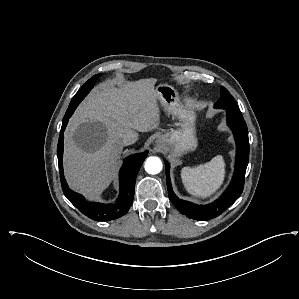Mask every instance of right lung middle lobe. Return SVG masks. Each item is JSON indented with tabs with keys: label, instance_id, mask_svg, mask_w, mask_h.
<instances>
[{
	"label": "right lung middle lobe",
	"instance_id": "1",
	"mask_svg": "<svg viewBox=\"0 0 299 299\" xmlns=\"http://www.w3.org/2000/svg\"><path fill=\"white\" fill-rule=\"evenodd\" d=\"M98 76L99 74L94 75L82 86V88L76 93V95L71 100L69 107H72L73 105H78L82 101V99L90 92V90L94 86V83L97 80Z\"/></svg>",
	"mask_w": 299,
	"mask_h": 299
}]
</instances>
